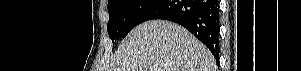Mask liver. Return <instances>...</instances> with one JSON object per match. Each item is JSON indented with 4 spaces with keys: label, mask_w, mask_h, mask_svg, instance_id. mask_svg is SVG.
Here are the masks:
<instances>
[{
    "label": "liver",
    "mask_w": 301,
    "mask_h": 71,
    "mask_svg": "<svg viewBox=\"0 0 301 71\" xmlns=\"http://www.w3.org/2000/svg\"><path fill=\"white\" fill-rule=\"evenodd\" d=\"M107 71H216L208 48L185 28L152 20L121 42Z\"/></svg>",
    "instance_id": "1"
}]
</instances>
